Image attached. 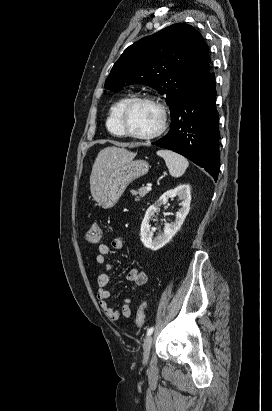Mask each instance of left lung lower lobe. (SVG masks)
<instances>
[{
    "label": "left lung lower lobe",
    "instance_id": "1",
    "mask_svg": "<svg viewBox=\"0 0 272 411\" xmlns=\"http://www.w3.org/2000/svg\"><path fill=\"white\" fill-rule=\"evenodd\" d=\"M215 97V76L210 73L171 115L168 134L152 144L185 156L217 180L220 131Z\"/></svg>",
    "mask_w": 272,
    "mask_h": 411
}]
</instances>
